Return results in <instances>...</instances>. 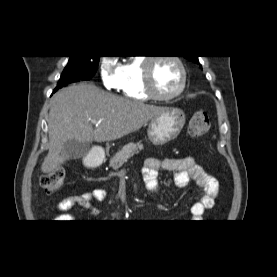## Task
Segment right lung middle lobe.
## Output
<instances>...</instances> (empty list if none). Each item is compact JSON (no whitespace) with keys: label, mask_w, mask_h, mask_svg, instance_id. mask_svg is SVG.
Masks as SVG:
<instances>
[{"label":"right lung middle lobe","mask_w":277,"mask_h":277,"mask_svg":"<svg viewBox=\"0 0 277 277\" xmlns=\"http://www.w3.org/2000/svg\"><path fill=\"white\" fill-rule=\"evenodd\" d=\"M99 57L70 56L57 87L61 88L72 82L90 79L96 73Z\"/></svg>","instance_id":"1"}]
</instances>
